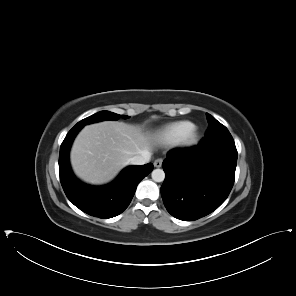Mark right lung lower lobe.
Listing matches in <instances>:
<instances>
[{"mask_svg":"<svg viewBox=\"0 0 296 296\" xmlns=\"http://www.w3.org/2000/svg\"><path fill=\"white\" fill-rule=\"evenodd\" d=\"M80 129L74 126L60 147L59 173L62 187L68 199L83 212L104 219L115 217L128 207L138 183L153 170V164L129 166L105 186L86 185L74 176L69 164V150Z\"/></svg>","mask_w":296,"mask_h":296,"instance_id":"obj_1","label":"right lung lower lobe"}]
</instances>
